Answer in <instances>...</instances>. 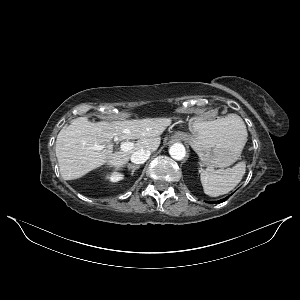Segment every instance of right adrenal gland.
<instances>
[{"label": "right adrenal gland", "instance_id": "1", "mask_svg": "<svg viewBox=\"0 0 300 300\" xmlns=\"http://www.w3.org/2000/svg\"><path fill=\"white\" fill-rule=\"evenodd\" d=\"M139 167V165L128 164V169L131 170V175H133L135 170H137Z\"/></svg>", "mask_w": 300, "mask_h": 300}]
</instances>
